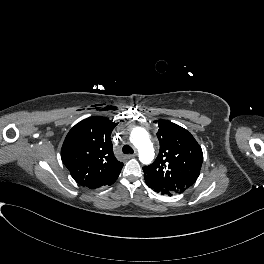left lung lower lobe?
Listing matches in <instances>:
<instances>
[{
    "instance_id": "0a47b994",
    "label": "left lung lower lobe",
    "mask_w": 264,
    "mask_h": 264,
    "mask_svg": "<svg viewBox=\"0 0 264 264\" xmlns=\"http://www.w3.org/2000/svg\"><path fill=\"white\" fill-rule=\"evenodd\" d=\"M146 184L148 185V187L152 188L155 192L157 193H161V194H167V195H173L174 193L167 191L161 187H156L151 185L150 183L146 182Z\"/></svg>"
}]
</instances>
